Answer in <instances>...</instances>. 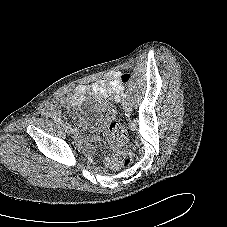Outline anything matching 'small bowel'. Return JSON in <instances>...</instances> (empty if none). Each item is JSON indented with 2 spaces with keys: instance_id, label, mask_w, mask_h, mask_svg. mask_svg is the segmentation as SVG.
Masks as SVG:
<instances>
[{
  "instance_id": "1",
  "label": "small bowel",
  "mask_w": 227,
  "mask_h": 227,
  "mask_svg": "<svg viewBox=\"0 0 227 227\" xmlns=\"http://www.w3.org/2000/svg\"><path fill=\"white\" fill-rule=\"evenodd\" d=\"M122 72L120 71H111L106 74V76L100 80H97L88 85H77L71 95V102L73 105H80L87 96L92 97L99 103V109H101L100 104L105 98H113L118 100V97L121 98V93H125V88L120 82V76ZM66 99L64 97H56L53 99L43 110L44 114L49 116L51 114H59L58 109L65 103ZM77 120H79L77 118ZM75 137L79 140L83 138L81 135L74 130ZM88 144L92 141L102 145L103 142L100 139L90 140L88 138L84 139ZM108 165L112 168H116L117 165L114 161H108Z\"/></svg>"
}]
</instances>
